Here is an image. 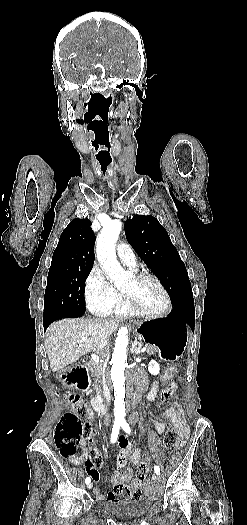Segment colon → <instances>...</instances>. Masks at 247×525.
Returning <instances> with one entry per match:
<instances>
[{"mask_svg": "<svg viewBox=\"0 0 247 525\" xmlns=\"http://www.w3.org/2000/svg\"><path fill=\"white\" fill-rule=\"evenodd\" d=\"M182 369V366H179ZM179 370L171 367L163 371L157 378L159 386L166 384L172 376L178 375ZM165 390V387H162ZM67 398L72 406V411L65 414L59 421L54 433L56 447L62 457L68 458L75 455L77 447L87 430V419L89 417V405L77 394L69 393ZM178 442V435L171 423L167 424V430L162 440V445L166 450H171ZM149 464L142 463L137 470L136 481L146 479L149 472Z\"/></svg>", "mask_w": 247, "mask_h": 525, "instance_id": "obj_1", "label": "colon"}]
</instances>
